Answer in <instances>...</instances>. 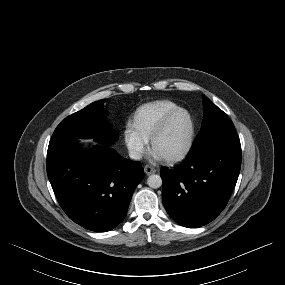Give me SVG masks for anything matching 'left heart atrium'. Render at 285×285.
<instances>
[{
  "label": "left heart atrium",
  "instance_id": "left-heart-atrium-1",
  "mask_svg": "<svg viewBox=\"0 0 285 285\" xmlns=\"http://www.w3.org/2000/svg\"><path fill=\"white\" fill-rule=\"evenodd\" d=\"M153 157H154L156 160L162 159V157H161L158 153H156V152H154Z\"/></svg>",
  "mask_w": 285,
  "mask_h": 285
}]
</instances>
